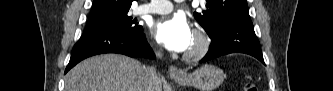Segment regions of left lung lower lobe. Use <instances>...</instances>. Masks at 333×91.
I'll return each mask as SVG.
<instances>
[{"label": "left lung lower lobe", "mask_w": 333, "mask_h": 91, "mask_svg": "<svg viewBox=\"0 0 333 91\" xmlns=\"http://www.w3.org/2000/svg\"><path fill=\"white\" fill-rule=\"evenodd\" d=\"M210 38L209 51L200 62H206L230 53H246L265 64L250 18L230 21Z\"/></svg>", "instance_id": "1"}]
</instances>
